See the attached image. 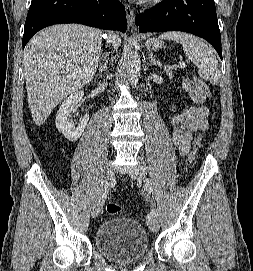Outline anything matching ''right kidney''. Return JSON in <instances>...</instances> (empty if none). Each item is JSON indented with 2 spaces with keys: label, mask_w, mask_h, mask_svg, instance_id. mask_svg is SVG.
<instances>
[{
  "label": "right kidney",
  "mask_w": 253,
  "mask_h": 271,
  "mask_svg": "<svg viewBox=\"0 0 253 271\" xmlns=\"http://www.w3.org/2000/svg\"><path fill=\"white\" fill-rule=\"evenodd\" d=\"M83 95V91H77L71 94L64 100L56 115V128L71 142L77 141L78 138H80L89 120V116L86 115L77 127H75L73 121L70 120L71 113L77 109Z\"/></svg>",
  "instance_id": "1"
}]
</instances>
